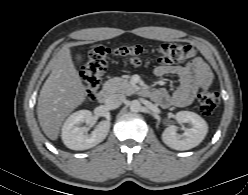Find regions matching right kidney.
<instances>
[{
	"label": "right kidney",
	"instance_id": "1",
	"mask_svg": "<svg viewBox=\"0 0 248 195\" xmlns=\"http://www.w3.org/2000/svg\"><path fill=\"white\" fill-rule=\"evenodd\" d=\"M92 120L93 115L89 110L71 114L62 127L61 137L64 144L72 150H87L101 143L108 135L110 121H101L91 134H87L88 128L80 127L79 124H90Z\"/></svg>",
	"mask_w": 248,
	"mask_h": 195
}]
</instances>
